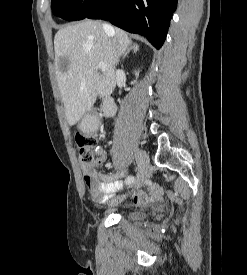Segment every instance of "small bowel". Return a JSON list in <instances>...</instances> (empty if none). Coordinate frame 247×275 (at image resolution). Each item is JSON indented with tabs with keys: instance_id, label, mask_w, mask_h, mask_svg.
I'll return each mask as SVG.
<instances>
[{
	"instance_id": "small-bowel-1",
	"label": "small bowel",
	"mask_w": 247,
	"mask_h": 275,
	"mask_svg": "<svg viewBox=\"0 0 247 275\" xmlns=\"http://www.w3.org/2000/svg\"><path fill=\"white\" fill-rule=\"evenodd\" d=\"M88 125L91 128H97L98 122L95 118L88 119ZM107 158V153L104 149H98L96 158L92 164L96 167L102 164ZM127 174L126 170H121L114 174H102L97 172L94 168L84 172V183L90 193L91 199L96 203H103L110 199L112 195L120 190L123 186L121 179ZM146 191L137 192L133 200L136 204H145L151 201L158 200L162 194L163 189L160 185L149 182Z\"/></svg>"
}]
</instances>
